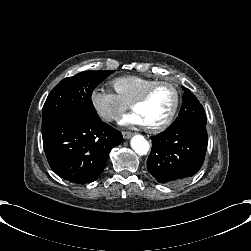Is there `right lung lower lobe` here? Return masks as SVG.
<instances>
[{"label":"right lung lower lobe","mask_w":251,"mask_h":251,"mask_svg":"<svg viewBox=\"0 0 251 251\" xmlns=\"http://www.w3.org/2000/svg\"><path fill=\"white\" fill-rule=\"evenodd\" d=\"M44 151L51 169L63 179L86 184L104 170L121 132L78 113H68L42 127Z\"/></svg>","instance_id":"98d812e1"}]
</instances>
